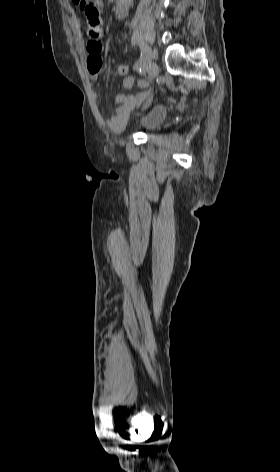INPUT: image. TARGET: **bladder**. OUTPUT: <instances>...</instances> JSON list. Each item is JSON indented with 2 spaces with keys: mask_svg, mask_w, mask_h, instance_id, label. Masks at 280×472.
<instances>
[{
  "mask_svg": "<svg viewBox=\"0 0 280 472\" xmlns=\"http://www.w3.org/2000/svg\"><path fill=\"white\" fill-rule=\"evenodd\" d=\"M166 109L162 106H155L146 111H136L132 118L135 125L143 132H150L158 128L166 118Z\"/></svg>",
  "mask_w": 280,
  "mask_h": 472,
  "instance_id": "31cf9c89",
  "label": "bladder"
}]
</instances>
